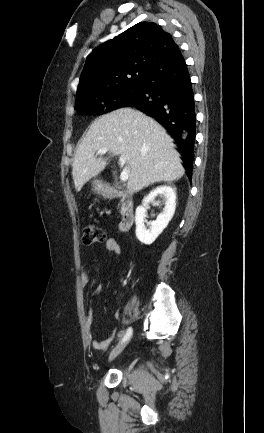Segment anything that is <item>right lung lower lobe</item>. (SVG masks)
<instances>
[{"mask_svg": "<svg viewBox=\"0 0 264 433\" xmlns=\"http://www.w3.org/2000/svg\"><path fill=\"white\" fill-rule=\"evenodd\" d=\"M139 85L140 93L122 107L136 108L163 125L176 140L191 179L196 113L190 75L181 52L172 54Z\"/></svg>", "mask_w": 264, "mask_h": 433, "instance_id": "obj_1", "label": "right lung lower lobe"}]
</instances>
